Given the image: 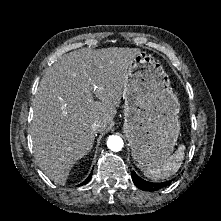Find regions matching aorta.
<instances>
[{
    "instance_id": "1",
    "label": "aorta",
    "mask_w": 221,
    "mask_h": 221,
    "mask_svg": "<svg viewBox=\"0 0 221 221\" xmlns=\"http://www.w3.org/2000/svg\"><path fill=\"white\" fill-rule=\"evenodd\" d=\"M124 146L123 140L117 135H111L107 140V147L115 152L121 151Z\"/></svg>"
}]
</instances>
